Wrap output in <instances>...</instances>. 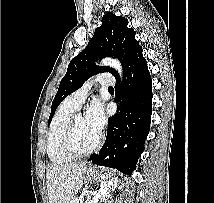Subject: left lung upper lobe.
<instances>
[{
	"label": "left lung upper lobe",
	"mask_w": 214,
	"mask_h": 203,
	"mask_svg": "<svg viewBox=\"0 0 214 203\" xmlns=\"http://www.w3.org/2000/svg\"><path fill=\"white\" fill-rule=\"evenodd\" d=\"M127 25L128 20L124 17L112 13H106L103 16L101 26L96 28L87 47L70 61L52 102L49 123L61 101L79 89L91 76L110 72L118 77L113 68L95 65L98 58L116 57L122 64L123 72L127 69L132 58L142 50L135 39L134 30L128 28Z\"/></svg>",
	"instance_id": "obj_1"
}]
</instances>
